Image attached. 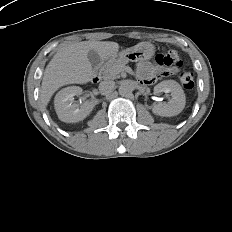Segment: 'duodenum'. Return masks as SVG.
<instances>
[{"label": "duodenum", "instance_id": "410a0bca", "mask_svg": "<svg viewBox=\"0 0 232 232\" xmlns=\"http://www.w3.org/2000/svg\"><path fill=\"white\" fill-rule=\"evenodd\" d=\"M99 78H100L99 71L97 69H95L92 81L97 82L99 80Z\"/></svg>", "mask_w": 232, "mask_h": 232}]
</instances>
